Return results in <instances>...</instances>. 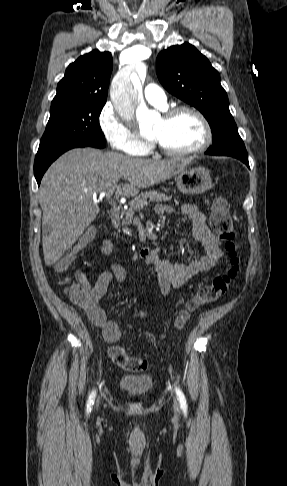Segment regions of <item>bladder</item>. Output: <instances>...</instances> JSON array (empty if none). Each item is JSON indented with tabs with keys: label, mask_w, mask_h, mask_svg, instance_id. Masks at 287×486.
I'll use <instances>...</instances> for the list:
<instances>
[{
	"label": "bladder",
	"mask_w": 287,
	"mask_h": 486,
	"mask_svg": "<svg viewBox=\"0 0 287 486\" xmlns=\"http://www.w3.org/2000/svg\"><path fill=\"white\" fill-rule=\"evenodd\" d=\"M120 388L134 396L147 394L153 386V380L147 375H124L119 381Z\"/></svg>",
	"instance_id": "bladder-1"
}]
</instances>
